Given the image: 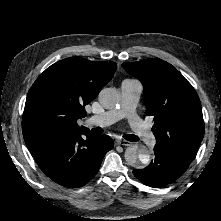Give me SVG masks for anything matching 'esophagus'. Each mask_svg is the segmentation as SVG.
Returning <instances> with one entry per match:
<instances>
[{
    "instance_id": "obj_1",
    "label": "esophagus",
    "mask_w": 221,
    "mask_h": 221,
    "mask_svg": "<svg viewBox=\"0 0 221 221\" xmlns=\"http://www.w3.org/2000/svg\"><path fill=\"white\" fill-rule=\"evenodd\" d=\"M116 144L117 145H122V146H129L130 145V142L126 141V140H123V139H118L116 141Z\"/></svg>"
}]
</instances>
